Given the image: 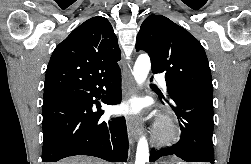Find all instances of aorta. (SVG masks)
<instances>
[{
    "label": "aorta",
    "mask_w": 251,
    "mask_h": 164,
    "mask_svg": "<svg viewBox=\"0 0 251 164\" xmlns=\"http://www.w3.org/2000/svg\"><path fill=\"white\" fill-rule=\"evenodd\" d=\"M151 68L150 58L147 54H141L137 58L133 67V76L138 85H142L149 74ZM149 160L148 142L145 137L140 138L137 145L135 164H146Z\"/></svg>",
    "instance_id": "aorta-1"
}]
</instances>
